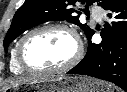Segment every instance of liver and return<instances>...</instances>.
Returning <instances> with one entry per match:
<instances>
[{
  "mask_svg": "<svg viewBox=\"0 0 127 92\" xmlns=\"http://www.w3.org/2000/svg\"><path fill=\"white\" fill-rule=\"evenodd\" d=\"M49 79H54V77L36 76V77L13 79V80H10L6 84L4 90H7L8 88L15 87V86L22 85V84L36 83L39 81H45V80H49Z\"/></svg>",
  "mask_w": 127,
  "mask_h": 92,
  "instance_id": "liver-1",
  "label": "liver"
}]
</instances>
